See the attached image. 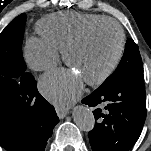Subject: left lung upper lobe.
<instances>
[{
	"instance_id": "left-lung-upper-lobe-1",
	"label": "left lung upper lobe",
	"mask_w": 151,
	"mask_h": 151,
	"mask_svg": "<svg viewBox=\"0 0 151 151\" xmlns=\"http://www.w3.org/2000/svg\"><path fill=\"white\" fill-rule=\"evenodd\" d=\"M134 72H143V64L138 49L133 39H128L125 45L124 55L116 70L96 90L107 89L115 83Z\"/></svg>"
}]
</instances>
